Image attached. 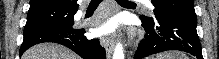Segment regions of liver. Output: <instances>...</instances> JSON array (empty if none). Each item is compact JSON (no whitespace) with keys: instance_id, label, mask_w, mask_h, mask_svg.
Listing matches in <instances>:
<instances>
[{"instance_id":"6515ba94","label":"liver","mask_w":219,"mask_h":59,"mask_svg":"<svg viewBox=\"0 0 219 59\" xmlns=\"http://www.w3.org/2000/svg\"><path fill=\"white\" fill-rule=\"evenodd\" d=\"M22 59H80L71 50L57 44L42 43L28 49Z\"/></svg>"}]
</instances>
